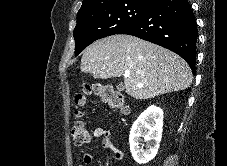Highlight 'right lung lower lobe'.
Masks as SVG:
<instances>
[{
  "label": "right lung lower lobe",
  "instance_id": "98d812e1",
  "mask_svg": "<svg viewBox=\"0 0 227 166\" xmlns=\"http://www.w3.org/2000/svg\"><path fill=\"white\" fill-rule=\"evenodd\" d=\"M118 34L133 35L181 56L195 73L197 25L188 0H158Z\"/></svg>",
  "mask_w": 227,
  "mask_h": 166
}]
</instances>
